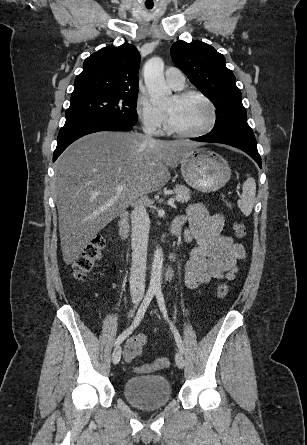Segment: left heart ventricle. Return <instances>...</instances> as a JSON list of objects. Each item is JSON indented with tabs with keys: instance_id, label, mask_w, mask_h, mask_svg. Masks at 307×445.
Wrapping results in <instances>:
<instances>
[{
	"instance_id": "1",
	"label": "left heart ventricle",
	"mask_w": 307,
	"mask_h": 445,
	"mask_svg": "<svg viewBox=\"0 0 307 445\" xmlns=\"http://www.w3.org/2000/svg\"><path fill=\"white\" fill-rule=\"evenodd\" d=\"M171 124L184 132H196L206 127L211 119L209 107L197 98L179 99L175 95L163 104Z\"/></svg>"
}]
</instances>
